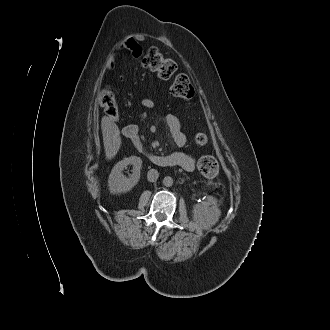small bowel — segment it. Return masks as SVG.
<instances>
[{
	"label": "small bowel",
	"instance_id": "small-bowel-1",
	"mask_svg": "<svg viewBox=\"0 0 330 330\" xmlns=\"http://www.w3.org/2000/svg\"><path fill=\"white\" fill-rule=\"evenodd\" d=\"M119 48L128 50L133 58L140 57L143 52L140 43L134 38L124 40ZM115 63L116 53L114 52L108 56L107 68L109 70L114 69ZM142 105L146 108H152L154 106V101L150 97H145L142 99ZM166 124L175 144L178 147H183L186 144V136L182 130L179 119L175 115L169 114L166 116ZM166 157L172 166H178L186 171L194 169L195 160L190 154L176 151L168 154Z\"/></svg>",
	"mask_w": 330,
	"mask_h": 330
}]
</instances>
